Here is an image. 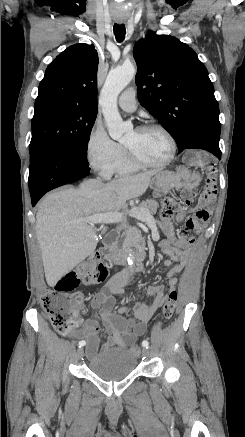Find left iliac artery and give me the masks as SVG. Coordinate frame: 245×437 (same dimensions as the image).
Returning <instances> with one entry per match:
<instances>
[{
  "label": "left iliac artery",
  "mask_w": 245,
  "mask_h": 437,
  "mask_svg": "<svg viewBox=\"0 0 245 437\" xmlns=\"http://www.w3.org/2000/svg\"><path fill=\"white\" fill-rule=\"evenodd\" d=\"M142 346L148 348V346H149V342H148L147 340H144V341L142 342Z\"/></svg>",
  "instance_id": "left-iliac-artery-1"
}]
</instances>
